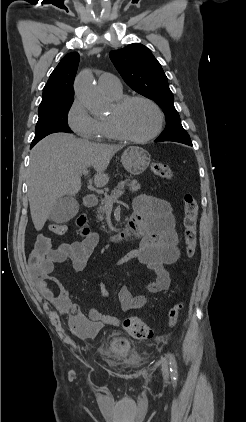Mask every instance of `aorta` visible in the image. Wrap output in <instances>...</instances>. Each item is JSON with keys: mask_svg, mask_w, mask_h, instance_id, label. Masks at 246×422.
<instances>
[{"mask_svg": "<svg viewBox=\"0 0 246 422\" xmlns=\"http://www.w3.org/2000/svg\"><path fill=\"white\" fill-rule=\"evenodd\" d=\"M75 96L94 115L103 114L106 106L103 97L96 85L90 70L81 72L74 83Z\"/></svg>", "mask_w": 246, "mask_h": 422, "instance_id": "762f6f07", "label": "aorta"}]
</instances>
